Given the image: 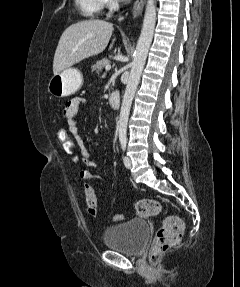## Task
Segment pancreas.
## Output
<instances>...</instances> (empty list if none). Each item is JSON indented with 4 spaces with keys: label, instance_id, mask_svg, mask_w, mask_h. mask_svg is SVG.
<instances>
[{
    "label": "pancreas",
    "instance_id": "pancreas-1",
    "mask_svg": "<svg viewBox=\"0 0 240 287\" xmlns=\"http://www.w3.org/2000/svg\"><path fill=\"white\" fill-rule=\"evenodd\" d=\"M110 61L107 58H103L99 61H97L93 66H92V71H95L97 74L102 71V69L106 66L109 65Z\"/></svg>",
    "mask_w": 240,
    "mask_h": 287
}]
</instances>
